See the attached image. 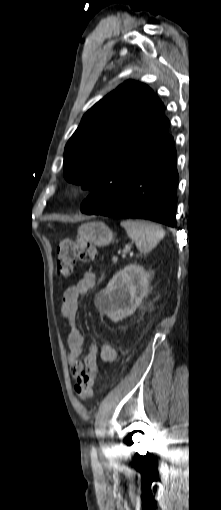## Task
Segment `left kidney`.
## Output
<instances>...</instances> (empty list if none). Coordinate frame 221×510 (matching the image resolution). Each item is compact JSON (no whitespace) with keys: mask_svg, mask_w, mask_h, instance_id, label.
Here are the masks:
<instances>
[{"mask_svg":"<svg viewBox=\"0 0 221 510\" xmlns=\"http://www.w3.org/2000/svg\"><path fill=\"white\" fill-rule=\"evenodd\" d=\"M151 275L143 267L130 264L118 271L95 298V306L112 321L132 315L148 292Z\"/></svg>","mask_w":221,"mask_h":510,"instance_id":"obj_1","label":"left kidney"}]
</instances>
